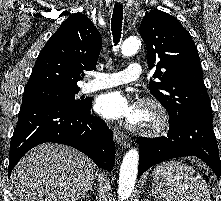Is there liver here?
Wrapping results in <instances>:
<instances>
[{
	"mask_svg": "<svg viewBox=\"0 0 221 201\" xmlns=\"http://www.w3.org/2000/svg\"><path fill=\"white\" fill-rule=\"evenodd\" d=\"M95 169L90 158L71 147L38 145L12 171L13 201H77L94 183Z\"/></svg>",
	"mask_w": 221,
	"mask_h": 201,
	"instance_id": "obj_1",
	"label": "liver"
}]
</instances>
